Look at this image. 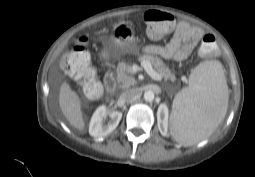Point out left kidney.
Instances as JSON below:
<instances>
[{
  "label": "left kidney",
  "mask_w": 255,
  "mask_h": 177,
  "mask_svg": "<svg viewBox=\"0 0 255 177\" xmlns=\"http://www.w3.org/2000/svg\"><path fill=\"white\" fill-rule=\"evenodd\" d=\"M157 118L160 130H162L163 133H166L168 124V108L165 104H161L159 106L157 111Z\"/></svg>",
  "instance_id": "obj_1"
}]
</instances>
